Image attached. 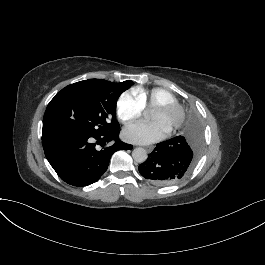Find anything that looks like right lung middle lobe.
I'll use <instances>...</instances> for the list:
<instances>
[{
	"instance_id": "obj_1",
	"label": "right lung middle lobe",
	"mask_w": 265,
	"mask_h": 265,
	"mask_svg": "<svg viewBox=\"0 0 265 265\" xmlns=\"http://www.w3.org/2000/svg\"><path fill=\"white\" fill-rule=\"evenodd\" d=\"M134 83L89 79L71 84L50 101L43 118L42 141L62 135H102L120 128L119 96Z\"/></svg>"
}]
</instances>
